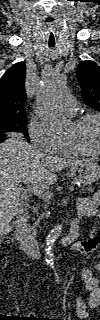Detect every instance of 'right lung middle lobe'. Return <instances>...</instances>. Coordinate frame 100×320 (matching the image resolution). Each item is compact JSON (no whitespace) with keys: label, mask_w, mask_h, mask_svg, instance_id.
Returning <instances> with one entry per match:
<instances>
[{"label":"right lung middle lobe","mask_w":100,"mask_h":320,"mask_svg":"<svg viewBox=\"0 0 100 320\" xmlns=\"http://www.w3.org/2000/svg\"><path fill=\"white\" fill-rule=\"evenodd\" d=\"M26 116L21 117H14L9 119L0 120V135L1 138L4 137V133L6 132H20L26 135L27 139L29 140L28 136V129L26 127ZM4 139H0L2 142Z\"/></svg>","instance_id":"obj_1"}]
</instances>
